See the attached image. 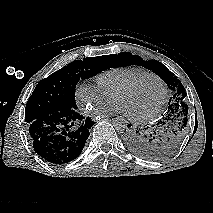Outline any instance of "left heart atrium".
I'll return each mask as SVG.
<instances>
[{
  "mask_svg": "<svg viewBox=\"0 0 213 213\" xmlns=\"http://www.w3.org/2000/svg\"><path fill=\"white\" fill-rule=\"evenodd\" d=\"M102 112H116V113H123L125 115H128L124 106L116 101L110 104L109 106L98 108L96 110L97 114H100Z\"/></svg>",
  "mask_w": 213,
  "mask_h": 213,
  "instance_id": "obj_1",
  "label": "left heart atrium"
}]
</instances>
